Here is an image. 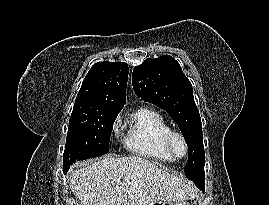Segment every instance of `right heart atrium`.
Segmentation results:
<instances>
[{"label": "right heart atrium", "instance_id": "right-heart-atrium-1", "mask_svg": "<svg viewBox=\"0 0 269 205\" xmlns=\"http://www.w3.org/2000/svg\"><path fill=\"white\" fill-rule=\"evenodd\" d=\"M121 131V124H120V119L116 118L111 126V132L114 136H118Z\"/></svg>", "mask_w": 269, "mask_h": 205}]
</instances>
